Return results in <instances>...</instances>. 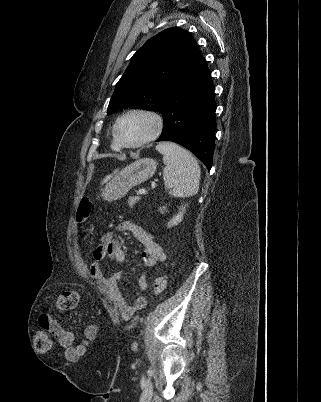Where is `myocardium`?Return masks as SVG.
I'll use <instances>...</instances> for the list:
<instances>
[{
  "label": "myocardium",
  "mask_w": 321,
  "mask_h": 402,
  "mask_svg": "<svg viewBox=\"0 0 321 402\" xmlns=\"http://www.w3.org/2000/svg\"><path fill=\"white\" fill-rule=\"evenodd\" d=\"M134 114L144 115V116H147L148 118H150L151 121L153 122V128H152L151 132L146 137L141 139L140 141L133 143V144H127L121 140L118 129H119L120 122L123 119H125L126 117H128L130 115H134ZM163 127H164V120L158 112H156L152 109H148V108L134 107V108H130V109L126 110L125 112H123L121 115L118 116V118L116 119V121L113 125V136L120 148L138 149V148L144 147L147 144L154 141L161 134Z\"/></svg>",
  "instance_id": "obj_1"
}]
</instances>
